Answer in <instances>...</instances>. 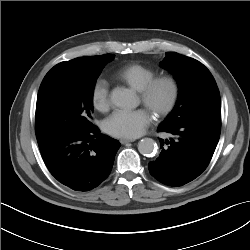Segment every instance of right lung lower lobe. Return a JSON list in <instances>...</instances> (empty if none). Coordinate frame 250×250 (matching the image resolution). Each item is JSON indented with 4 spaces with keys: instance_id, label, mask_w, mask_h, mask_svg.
<instances>
[{
    "instance_id": "98d812e1",
    "label": "right lung lower lobe",
    "mask_w": 250,
    "mask_h": 250,
    "mask_svg": "<svg viewBox=\"0 0 250 250\" xmlns=\"http://www.w3.org/2000/svg\"><path fill=\"white\" fill-rule=\"evenodd\" d=\"M49 172L75 191H89L110 174L120 143L95 126L81 133H61L37 139Z\"/></svg>"
}]
</instances>
